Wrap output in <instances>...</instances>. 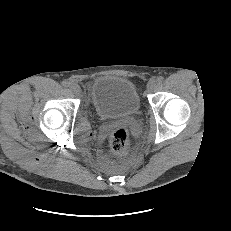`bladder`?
I'll list each match as a JSON object with an SVG mask.
<instances>
[{"mask_svg": "<svg viewBox=\"0 0 231 231\" xmlns=\"http://www.w3.org/2000/svg\"><path fill=\"white\" fill-rule=\"evenodd\" d=\"M92 105L102 119L134 115L140 108V99L135 85L128 79L103 75L91 84Z\"/></svg>", "mask_w": 231, "mask_h": 231, "instance_id": "31cf9c89", "label": "bladder"}]
</instances>
